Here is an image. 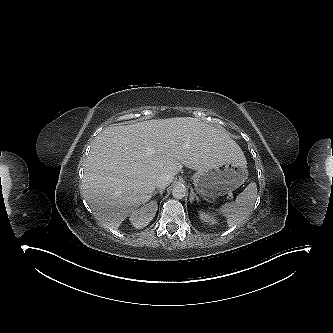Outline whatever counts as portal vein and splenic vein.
I'll return each mask as SVG.
<instances>
[{
    "label": "portal vein and splenic vein",
    "mask_w": 333,
    "mask_h": 333,
    "mask_svg": "<svg viewBox=\"0 0 333 333\" xmlns=\"http://www.w3.org/2000/svg\"><path fill=\"white\" fill-rule=\"evenodd\" d=\"M228 195H229V197H232V193H229Z\"/></svg>",
    "instance_id": "obj_1"
}]
</instances>
